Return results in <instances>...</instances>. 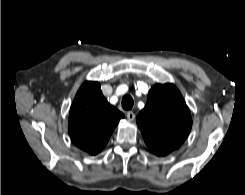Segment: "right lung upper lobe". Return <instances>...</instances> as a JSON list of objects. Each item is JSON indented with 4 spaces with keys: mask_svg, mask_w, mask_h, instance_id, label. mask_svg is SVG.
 <instances>
[{
    "mask_svg": "<svg viewBox=\"0 0 245 195\" xmlns=\"http://www.w3.org/2000/svg\"><path fill=\"white\" fill-rule=\"evenodd\" d=\"M124 117L103 97L98 82L87 81L80 87L71 105L69 134L76 146L96 155Z\"/></svg>",
    "mask_w": 245,
    "mask_h": 195,
    "instance_id": "1",
    "label": "right lung upper lobe"
}]
</instances>
